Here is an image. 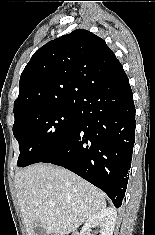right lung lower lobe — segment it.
I'll use <instances>...</instances> for the list:
<instances>
[{
  "label": "right lung lower lobe",
  "mask_w": 155,
  "mask_h": 235,
  "mask_svg": "<svg viewBox=\"0 0 155 235\" xmlns=\"http://www.w3.org/2000/svg\"><path fill=\"white\" fill-rule=\"evenodd\" d=\"M78 120L74 134L40 162L76 173L103 190L118 208L135 141V105L126 73L92 88L78 104Z\"/></svg>",
  "instance_id": "98d812e1"
}]
</instances>
